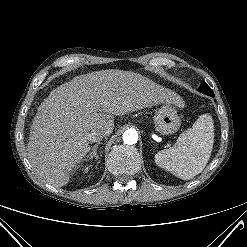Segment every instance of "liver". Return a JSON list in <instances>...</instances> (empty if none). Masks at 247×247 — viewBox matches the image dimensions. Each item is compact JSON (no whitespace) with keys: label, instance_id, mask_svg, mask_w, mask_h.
Listing matches in <instances>:
<instances>
[{"label":"liver","instance_id":"1","mask_svg":"<svg viewBox=\"0 0 247 247\" xmlns=\"http://www.w3.org/2000/svg\"><path fill=\"white\" fill-rule=\"evenodd\" d=\"M161 103H182L172 90L129 71L102 70L77 76L52 90L38 107L28 143L36 174L61 188L91 150L88 134L109 136L114 115H125Z\"/></svg>","mask_w":247,"mask_h":247}]
</instances>
